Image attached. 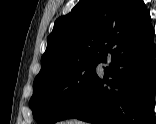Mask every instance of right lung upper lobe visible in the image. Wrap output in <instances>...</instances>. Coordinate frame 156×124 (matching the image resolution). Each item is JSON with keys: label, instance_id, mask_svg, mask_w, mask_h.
Returning <instances> with one entry per match:
<instances>
[{"label": "right lung upper lobe", "instance_id": "1", "mask_svg": "<svg viewBox=\"0 0 156 124\" xmlns=\"http://www.w3.org/2000/svg\"><path fill=\"white\" fill-rule=\"evenodd\" d=\"M150 26L143 0H80L69 14L56 20L36 78L69 65L102 59L126 33Z\"/></svg>", "mask_w": 156, "mask_h": 124}]
</instances>
